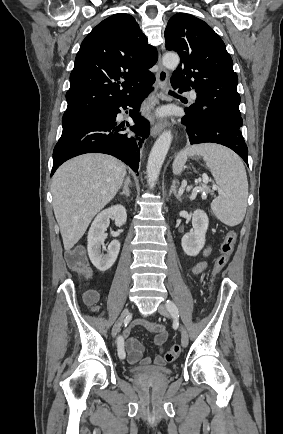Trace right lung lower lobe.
I'll return each mask as SVG.
<instances>
[{
    "label": "right lung lower lobe",
    "mask_w": 283,
    "mask_h": 434,
    "mask_svg": "<svg viewBox=\"0 0 283 434\" xmlns=\"http://www.w3.org/2000/svg\"><path fill=\"white\" fill-rule=\"evenodd\" d=\"M154 75L126 99L111 106L106 111L73 121L63 127L62 135L53 151L51 176L66 160L85 153H105L125 162L135 172L138 171L140 148L144 138L149 136V122L138 114L140 104L153 90ZM131 107L130 116L135 123L129 129L135 134L124 133L125 124L116 122L119 107ZM127 126L129 124L127 123Z\"/></svg>",
    "instance_id": "right-lung-lower-lobe-1"
}]
</instances>
